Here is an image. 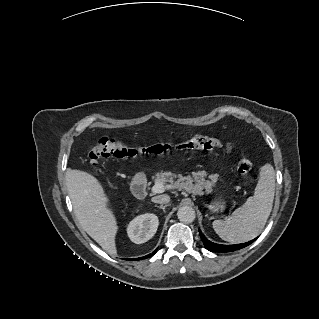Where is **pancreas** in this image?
Instances as JSON below:
<instances>
[{
    "mask_svg": "<svg viewBox=\"0 0 319 319\" xmlns=\"http://www.w3.org/2000/svg\"><path fill=\"white\" fill-rule=\"evenodd\" d=\"M206 173L204 171L194 172L193 178L191 176L182 177L180 175H176L171 173L170 171H164L157 173L154 177L155 182H169L174 185V187L178 189H185L188 192H199L202 189H206L210 191L212 185L217 180L216 175H211L209 180H206Z\"/></svg>",
    "mask_w": 319,
    "mask_h": 319,
    "instance_id": "obj_1",
    "label": "pancreas"
}]
</instances>
